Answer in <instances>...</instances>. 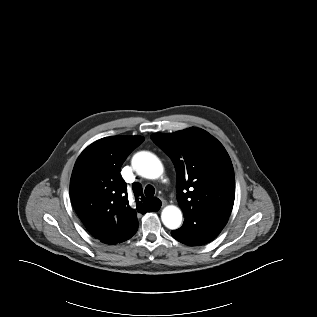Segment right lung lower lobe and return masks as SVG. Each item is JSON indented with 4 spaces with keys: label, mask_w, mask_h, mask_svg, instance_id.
<instances>
[{
    "label": "right lung lower lobe",
    "mask_w": 317,
    "mask_h": 317,
    "mask_svg": "<svg viewBox=\"0 0 317 317\" xmlns=\"http://www.w3.org/2000/svg\"><path fill=\"white\" fill-rule=\"evenodd\" d=\"M161 205L156 206V208L154 209V212L158 211Z\"/></svg>",
    "instance_id": "1"
}]
</instances>
